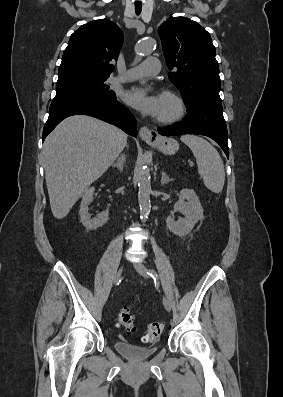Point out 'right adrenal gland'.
Listing matches in <instances>:
<instances>
[{"label":"right adrenal gland","instance_id":"2a0ac1e0","mask_svg":"<svg viewBox=\"0 0 283 397\" xmlns=\"http://www.w3.org/2000/svg\"><path fill=\"white\" fill-rule=\"evenodd\" d=\"M125 160H126L125 155L122 154L121 157L117 159V162L112 165V167H117L120 170V172H122Z\"/></svg>","mask_w":283,"mask_h":397}]
</instances>
